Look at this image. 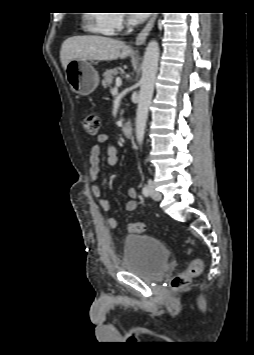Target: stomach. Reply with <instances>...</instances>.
Here are the masks:
<instances>
[{
    "instance_id": "stomach-1",
    "label": "stomach",
    "mask_w": 254,
    "mask_h": 355,
    "mask_svg": "<svg viewBox=\"0 0 254 355\" xmlns=\"http://www.w3.org/2000/svg\"><path fill=\"white\" fill-rule=\"evenodd\" d=\"M65 72L72 91L79 95H89L98 86V72L88 60L75 59L70 61Z\"/></svg>"
}]
</instances>
